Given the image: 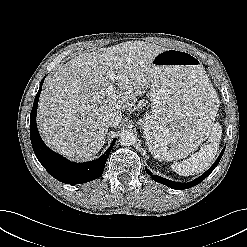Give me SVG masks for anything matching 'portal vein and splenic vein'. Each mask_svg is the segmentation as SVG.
Masks as SVG:
<instances>
[{
	"label": "portal vein and splenic vein",
	"mask_w": 247,
	"mask_h": 247,
	"mask_svg": "<svg viewBox=\"0 0 247 247\" xmlns=\"http://www.w3.org/2000/svg\"><path fill=\"white\" fill-rule=\"evenodd\" d=\"M109 75H110L111 80L114 82L115 79H116V75H115L113 72L110 73ZM114 90H115L114 85H113V84H110V85L107 87L106 92H107L108 94H111V93L114 92Z\"/></svg>",
	"instance_id": "1"
}]
</instances>
